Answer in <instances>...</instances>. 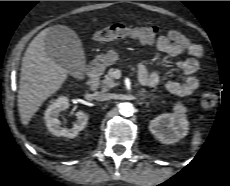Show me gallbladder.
<instances>
[{"mask_svg": "<svg viewBox=\"0 0 230 186\" xmlns=\"http://www.w3.org/2000/svg\"><path fill=\"white\" fill-rule=\"evenodd\" d=\"M48 55L72 76L80 78L85 70V56L77 34L66 26H53L44 39Z\"/></svg>", "mask_w": 230, "mask_h": 186, "instance_id": "bac80fb5", "label": "gallbladder"}]
</instances>
